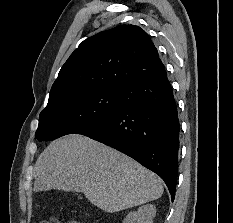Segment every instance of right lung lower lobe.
<instances>
[{
    "label": "right lung lower lobe",
    "mask_w": 233,
    "mask_h": 223,
    "mask_svg": "<svg viewBox=\"0 0 233 223\" xmlns=\"http://www.w3.org/2000/svg\"><path fill=\"white\" fill-rule=\"evenodd\" d=\"M120 109L80 133L158 174L174 200L179 149L177 107L166 70L121 88Z\"/></svg>",
    "instance_id": "right-lung-lower-lobe-1"
}]
</instances>
